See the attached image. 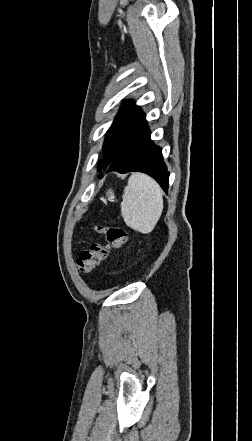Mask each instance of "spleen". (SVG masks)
I'll return each mask as SVG.
<instances>
[{
	"instance_id": "1",
	"label": "spleen",
	"mask_w": 252,
	"mask_h": 441,
	"mask_svg": "<svg viewBox=\"0 0 252 441\" xmlns=\"http://www.w3.org/2000/svg\"><path fill=\"white\" fill-rule=\"evenodd\" d=\"M163 211L162 189L143 173H134L128 180L121 202V215L126 225L147 234L156 226Z\"/></svg>"
}]
</instances>
